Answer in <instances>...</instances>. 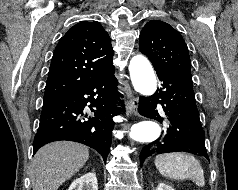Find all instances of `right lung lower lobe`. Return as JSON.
Listing matches in <instances>:
<instances>
[{"instance_id":"obj_1","label":"right lung lower lobe","mask_w":238,"mask_h":190,"mask_svg":"<svg viewBox=\"0 0 238 190\" xmlns=\"http://www.w3.org/2000/svg\"><path fill=\"white\" fill-rule=\"evenodd\" d=\"M119 96L112 70L64 98L43 104L33 142L34 153L49 142L70 140L97 150L106 161L114 126L112 118L122 110L116 105ZM87 103H90L91 116L84 113Z\"/></svg>"}]
</instances>
